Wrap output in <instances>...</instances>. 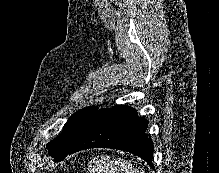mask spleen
<instances>
[{
    "instance_id": "obj_1",
    "label": "spleen",
    "mask_w": 219,
    "mask_h": 173,
    "mask_svg": "<svg viewBox=\"0 0 219 173\" xmlns=\"http://www.w3.org/2000/svg\"><path fill=\"white\" fill-rule=\"evenodd\" d=\"M90 173H145L143 169L133 166L121 159L112 160L108 156L88 167Z\"/></svg>"
}]
</instances>
